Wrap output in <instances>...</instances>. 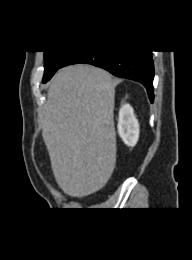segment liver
I'll list each match as a JSON object with an SVG mask.
<instances>
[{
	"mask_svg": "<svg viewBox=\"0 0 192 260\" xmlns=\"http://www.w3.org/2000/svg\"><path fill=\"white\" fill-rule=\"evenodd\" d=\"M116 84L107 71L76 64L60 69L49 85L42 136L56 182L69 196L98 191L113 173Z\"/></svg>",
	"mask_w": 192,
	"mask_h": 260,
	"instance_id": "6515ba94",
	"label": "liver"
}]
</instances>
